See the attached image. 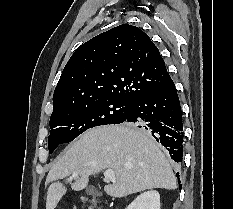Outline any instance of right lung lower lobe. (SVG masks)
Instances as JSON below:
<instances>
[{"label":"right lung lower lobe","instance_id":"obj_1","mask_svg":"<svg viewBox=\"0 0 233 209\" xmlns=\"http://www.w3.org/2000/svg\"><path fill=\"white\" fill-rule=\"evenodd\" d=\"M123 122H129L136 127L148 130L158 142L166 147L175 162H182V114L178 94L171 77L156 90L135 98Z\"/></svg>","mask_w":233,"mask_h":209}]
</instances>
